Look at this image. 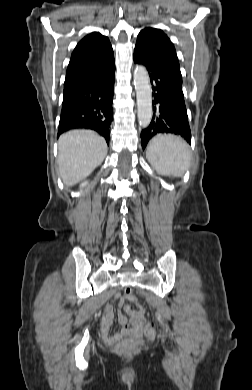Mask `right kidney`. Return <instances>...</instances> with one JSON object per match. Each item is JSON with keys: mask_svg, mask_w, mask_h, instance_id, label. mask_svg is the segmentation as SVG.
I'll use <instances>...</instances> for the list:
<instances>
[{"mask_svg": "<svg viewBox=\"0 0 252 390\" xmlns=\"http://www.w3.org/2000/svg\"><path fill=\"white\" fill-rule=\"evenodd\" d=\"M87 181H85V182H83L81 185H80V187H84V186H86L87 185Z\"/></svg>", "mask_w": 252, "mask_h": 390, "instance_id": "right-kidney-1", "label": "right kidney"}]
</instances>
